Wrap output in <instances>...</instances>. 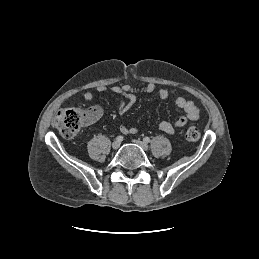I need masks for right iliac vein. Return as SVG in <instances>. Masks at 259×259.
Masks as SVG:
<instances>
[{
  "mask_svg": "<svg viewBox=\"0 0 259 259\" xmlns=\"http://www.w3.org/2000/svg\"><path fill=\"white\" fill-rule=\"evenodd\" d=\"M119 146H120V142L117 141V140L112 143V148H113V149H118Z\"/></svg>",
  "mask_w": 259,
  "mask_h": 259,
  "instance_id": "63e3f726",
  "label": "right iliac vein"
}]
</instances>
